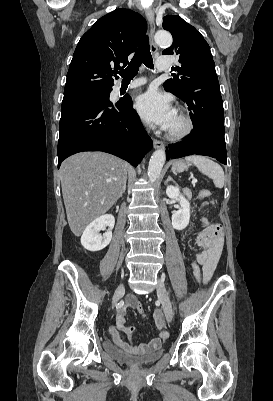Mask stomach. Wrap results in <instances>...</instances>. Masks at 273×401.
Masks as SVG:
<instances>
[{
    "instance_id": "obj_1",
    "label": "stomach",
    "mask_w": 273,
    "mask_h": 401,
    "mask_svg": "<svg viewBox=\"0 0 273 401\" xmlns=\"http://www.w3.org/2000/svg\"><path fill=\"white\" fill-rule=\"evenodd\" d=\"M189 166V162H182V160H177V162H174L173 164V170L175 172H182V170H187Z\"/></svg>"
}]
</instances>
